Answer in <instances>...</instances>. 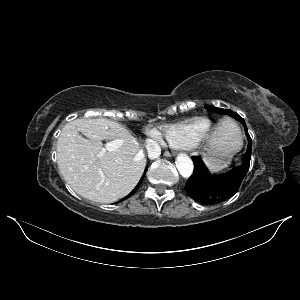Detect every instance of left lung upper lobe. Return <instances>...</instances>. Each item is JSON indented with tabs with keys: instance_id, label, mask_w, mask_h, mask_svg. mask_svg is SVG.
<instances>
[{
	"instance_id": "left-lung-upper-lobe-1",
	"label": "left lung upper lobe",
	"mask_w": 300,
	"mask_h": 300,
	"mask_svg": "<svg viewBox=\"0 0 300 300\" xmlns=\"http://www.w3.org/2000/svg\"><path fill=\"white\" fill-rule=\"evenodd\" d=\"M206 108L211 112L230 115V116L236 118L237 120H239L243 125L245 124V121L243 120V118H241L237 113L233 112L232 110L216 108V107L210 106V105H206Z\"/></svg>"
}]
</instances>
